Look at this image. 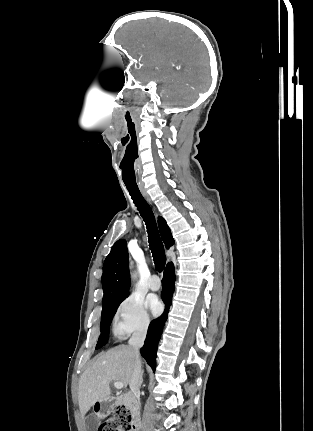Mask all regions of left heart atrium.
Masks as SVG:
<instances>
[{
  "instance_id": "obj_1",
  "label": "left heart atrium",
  "mask_w": 313,
  "mask_h": 431,
  "mask_svg": "<svg viewBox=\"0 0 313 431\" xmlns=\"http://www.w3.org/2000/svg\"><path fill=\"white\" fill-rule=\"evenodd\" d=\"M149 305L154 315H159L162 312L163 305L157 298L151 299Z\"/></svg>"
}]
</instances>
